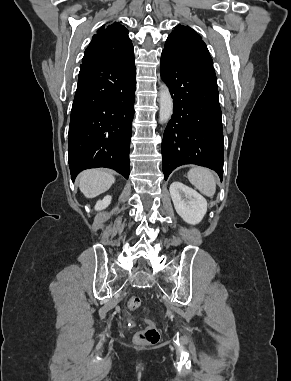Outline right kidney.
Here are the masks:
<instances>
[{
  "label": "right kidney",
  "mask_w": 291,
  "mask_h": 381,
  "mask_svg": "<svg viewBox=\"0 0 291 381\" xmlns=\"http://www.w3.org/2000/svg\"><path fill=\"white\" fill-rule=\"evenodd\" d=\"M112 197L110 195L105 196L102 200L97 201L95 205V210H103L109 206Z\"/></svg>",
  "instance_id": "1"
}]
</instances>
